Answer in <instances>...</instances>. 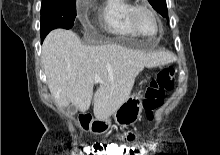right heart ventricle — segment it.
I'll return each instance as SVG.
<instances>
[{"label":"right heart ventricle","mask_w":220,"mask_h":155,"mask_svg":"<svg viewBox=\"0 0 220 155\" xmlns=\"http://www.w3.org/2000/svg\"><path fill=\"white\" fill-rule=\"evenodd\" d=\"M130 0H103L96 12V19L103 30L113 36L132 38L138 34L129 22Z\"/></svg>","instance_id":"e07e8e85"}]
</instances>
